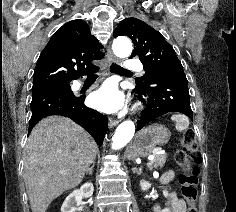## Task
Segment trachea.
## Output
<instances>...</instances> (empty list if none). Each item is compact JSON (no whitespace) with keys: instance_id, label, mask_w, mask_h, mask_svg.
<instances>
[{"instance_id":"trachea-1","label":"trachea","mask_w":236,"mask_h":212,"mask_svg":"<svg viewBox=\"0 0 236 212\" xmlns=\"http://www.w3.org/2000/svg\"><path fill=\"white\" fill-rule=\"evenodd\" d=\"M110 71L115 72V73H131L129 70H126L117 64H112L110 67ZM97 77H98V75H96V74L88 75V78H97Z\"/></svg>"}]
</instances>
